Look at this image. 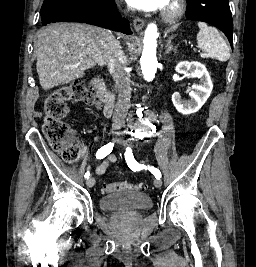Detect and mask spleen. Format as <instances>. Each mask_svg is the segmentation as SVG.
Returning a JSON list of instances; mask_svg holds the SVG:
<instances>
[{"instance_id": "1", "label": "spleen", "mask_w": 256, "mask_h": 267, "mask_svg": "<svg viewBox=\"0 0 256 267\" xmlns=\"http://www.w3.org/2000/svg\"><path fill=\"white\" fill-rule=\"evenodd\" d=\"M197 48H200L208 58L219 62H227L230 50L216 28H210L205 22H198Z\"/></svg>"}]
</instances>
